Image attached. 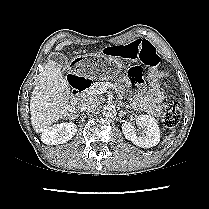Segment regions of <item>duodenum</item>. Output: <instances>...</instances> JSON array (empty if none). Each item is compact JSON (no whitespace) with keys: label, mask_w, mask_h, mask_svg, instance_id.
I'll return each mask as SVG.
<instances>
[{"label":"duodenum","mask_w":209,"mask_h":209,"mask_svg":"<svg viewBox=\"0 0 209 209\" xmlns=\"http://www.w3.org/2000/svg\"><path fill=\"white\" fill-rule=\"evenodd\" d=\"M69 83L72 87L71 99L77 101L79 97L84 94L90 87L91 81L82 76H70Z\"/></svg>","instance_id":"410a0bca"}]
</instances>
